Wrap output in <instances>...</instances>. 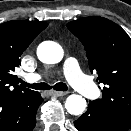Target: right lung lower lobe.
I'll return each mask as SVG.
<instances>
[{"mask_svg": "<svg viewBox=\"0 0 131 131\" xmlns=\"http://www.w3.org/2000/svg\"><path fill=\"white\" fill-rule=\"evenodd\" d=\"M43 102L38 92L0 97V131H32L36 112Z\"/></svg>", "mask_w": 131, "mask_h": 131, "instance_id": "98d812e1", "label": "right lung lower lobe"}]
</instances>
